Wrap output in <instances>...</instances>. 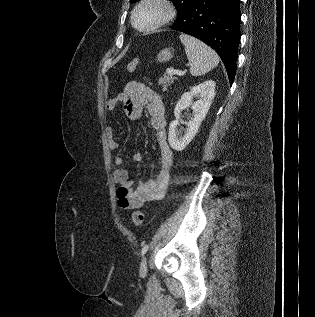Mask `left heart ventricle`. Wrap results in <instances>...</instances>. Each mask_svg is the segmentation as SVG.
<instances>
[{
    "label": "left heart ventricle",
    "mask_w": 315,
    "mask_h": 317,
    "mask_svg": "<svg viewBox=\"0 0 315 317\" xmlns=\"http://www.w3.org/2000/svg\"><path fill=\"white\" fill-rule=\"evenodd\" d=\"M161 15V11L156 6H146L140 9L136 15V23L140 27L154 23Z\"/></svg>",
    "instance_id": "1"
}]
</instances>
